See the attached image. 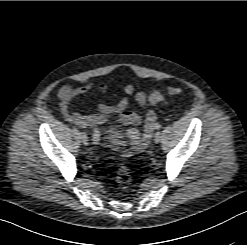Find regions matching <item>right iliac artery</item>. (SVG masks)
<instances>
[{
  "label": "right iliac artery",
  "mask_w": 247,
  "mask_h": 245,
  "mask_svg": "<svg viewBox=\"0 0 247 245\" xmlns=\"http://www.w3.org/2000/svg\"><path fill=\"white\" fill-rule=\"evenodd\" d=\"M92 144L97 145L100 140V133L96 127L93 128Z\"/></svg>",
  "instance_id": "1"
}]
</instances>
